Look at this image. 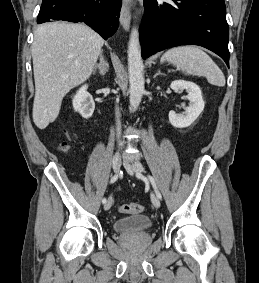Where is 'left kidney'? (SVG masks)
Instances as JSON below:
<instances>
[{
  "instance_id": "1",
  "label": "left kidney",
  "mask_w": 259,
  "mask_h": 283,
  "mask_svg": "<svg viewBox=\"0 0 259 283\" xmlns=\"http://www.w3.org/2000/svg\"><path fill=\"white\" fill-rule=\"evenodd\" d=\"M172 90H186L189 106L185 108L184 114H177L174 111L169 112V122L175 128H186L190 126L201 114L204 109L202 92L198 85L190 81L176 80L170 85ZM184 106V104H183Z\"/></svg>"
}]
</instances>
